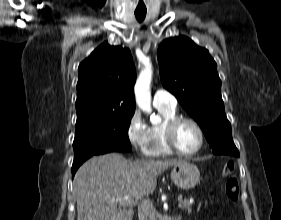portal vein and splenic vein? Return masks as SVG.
Here are the masks:
<instances>
[{"label": "portal vein and splenic vein", "mask_w": 281, "mask_h": 220, "mask_svg": "<svg viewBox=\"0 0 281 220\" xmlns=\"http://www.w3.org/2000/svg\"><path fill=\"white\" fill-rule=\"evenodd\" d=\"M181 198H182V197H181V196H179V197H178V200L180 201V200H181ZM129 199H130V197H129V196H125V197H123V198H119V199H117V201L121 203V202H124V201H128Z\"/></svg>", "instance_id": "portal-vein-and-splenic-vein-1"}]
</instances>
